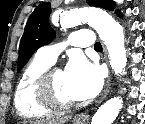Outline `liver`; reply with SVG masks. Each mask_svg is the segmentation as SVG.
<instances>
[{
	"label": "liver",
	"instance_id": "1",
	"mask_svg": "<svg viewBox=\"0 0 145 124\" xmlns=\"http://www.w3.org/2000/svg\"><path fill=\"white\" fill-rule=\"evenodd\" d=\"M66 121H67V118L57 117V118H53V119L36 121L31 124H65Z\"/></svg>",
	"mask_w": 145,
	"mask_h": 124
}]
</instances>
